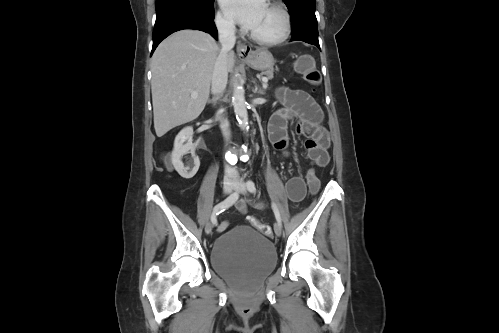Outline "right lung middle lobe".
I'll list each match as a JSON object with an SVG mask.
<instances>
[{
    "label": "right lung middle lobe",
    "mask_w": 499,
    "mask_h": 333,
    "mask_svg": "<svg viewBox=\"0 0 499 333\" xmlns=\"http://www.w3.org/2000/svg\"><path fill=\"white\" fill-rule=\"evenodd\" d=\"M214 0H156V18L183 12L208 16L214 13Z\"/></svg>",
    "instance_id": "obj_1"
}]
</instances>
